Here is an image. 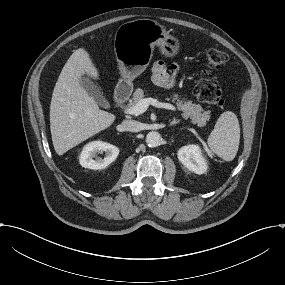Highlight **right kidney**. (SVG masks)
<instances>
[{"label": "right kidney", "mask_w": 285, "mask_h": 285, "mask_svg": "<svg viewBox=\"0 0 285 285\" xmlns=\"http://www.w3.org/2000/svg\"><path fill=\"white\" fill-rule=\"evenodd\" d=\"M98 151H105L106 157L104 159L96 157ZM118 154V147L103 141H92L83 147L79 155V163L84 168L94 170L103 169L111 164L117 158Z\"/></svg>", "instance_id": "ca27d5eb"}]
</instances>
